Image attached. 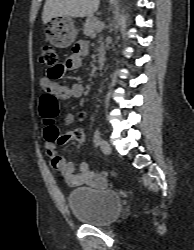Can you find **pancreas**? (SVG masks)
<instances>
[{
  "instance_id": "1",
  "label": "pancreas",
  "mask_w": 194,
  "mask_h": 250,
  "mask_svg": "<svg viewBox=\"0 0 194 250\" xmlns=\"http://www.w3.org/2000/svg\"><path fill=\"white\" fill-rule=\"evenodd\" d=\"M102 29L101 22L96 17H88L84 24L83 32L86 36H95Z\"/></svg>"
}]
</instances>
